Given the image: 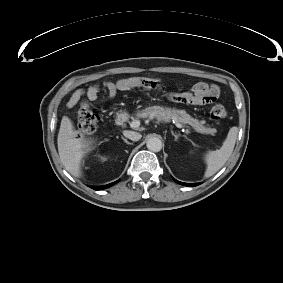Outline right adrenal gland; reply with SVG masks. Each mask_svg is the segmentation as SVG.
I'll list each match as a JSON object with an SVG mask.
<instances>
[{
	"label": "right adrenal gland",
	"instance_id": "1",
	"mask_svg": "<svg viewBox=\"0 0 283 283\" xmlns=\"http://www.w3.org/2000/svg\"><path fill=\"white\" fill-rule=\"evenodd\" d=\"M123 141L126 143V144H132L130 143L127 139H125L124 137H122Z\"/></svg>",
	"mask_w": 283,
	"mask_h": 283
}]
</instances>
